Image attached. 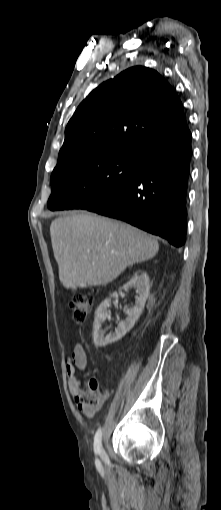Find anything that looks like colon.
<instances>
[{"instance_id": "1", "label": "colon", "mask_w": 221, "mask_h": 510, "mask_svg": "<svg viewBox=\"0 0 221 510\" xmlns=\"http://www.w3.org/2000/svg\"><path fill=\"white\" fill-rule=\"evenodd\" d=\"M93 304V296L89 292H82L77 294L72 302L70 308L72 310L73 319L77 323L86 321ZM104 400V395L99 387L97 380L90 379L88 381L87 389L83 391L81 396L82 404L88 410H98Z\"/></svg>"}]
</instances>
